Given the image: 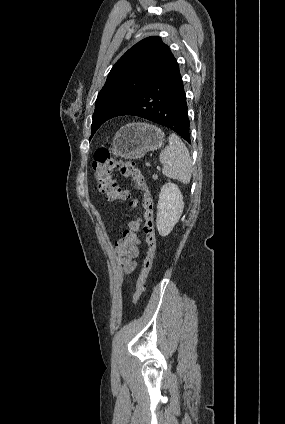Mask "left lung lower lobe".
Masks as SVG:
<instances>
[{
	"label": "left lung lower lobe",
	"mask_w": 285,
	"mask_h": 424,
	"mask_svg": "<svg viewBox=\"0 0 285 424\" xmlns=\"http://www.w3.org/2000/svg\"><path fill=\"white\" fill-rule=\"evenodd\" d=\"M124 115L166 126L190 142L186 96L174 56L154 81L122 104L109 119Z\"/></svg>",
	"instance_id": "0a47b994"
}]
</instances>
